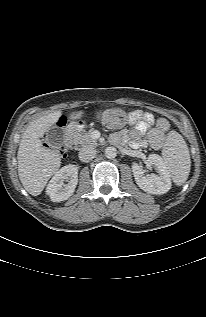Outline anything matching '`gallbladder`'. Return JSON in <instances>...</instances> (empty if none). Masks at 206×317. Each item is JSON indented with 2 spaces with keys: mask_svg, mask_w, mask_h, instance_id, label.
Wrapping results in <instances>:
<instances>
[{
  "mask_svg": "<svg viewBox=\"0 0 206 317\" xmlns=\"http://www.w3.org/2000/svg\"><path fill=\"white\" fill-rule=\"evenodd\" d=\"M64 137V129L57 126H53L46 133V142L48 146H50L51 148L59 149L64 142Z\"/></svg>",
  "mask_w": 206,
  "mask_h": 317,
  "instance_id": "bac80fb5",
  "label": "gallbladder"
}]
</instances>
